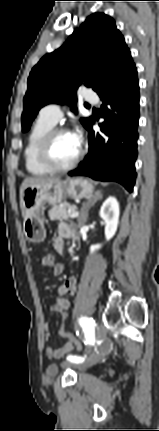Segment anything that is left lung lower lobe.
I'll return each mask as SVG.
<instances>
[{
  "instance_id": "0a47b994",
  "label": "left lung lower lobe",
  "mask_w": 159,
  "mask_h": 431,
  "mask_svg": "<svg viewBox=\"0 0 159 431\" xmlns=\"http://www.w3.org/2000/svg\"><path fill=\"white\" fill-rule=\"evenodd\" d=\"M99 97L103 105L101 130L88 127L89 152L70 176H89L95 180L116 181L128 191L136 179L135 161L139 123V81L135 64L127 67Z\"/></svg>"
}]
</instances>
